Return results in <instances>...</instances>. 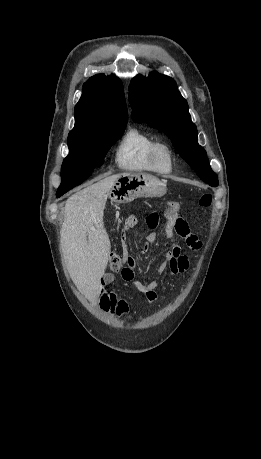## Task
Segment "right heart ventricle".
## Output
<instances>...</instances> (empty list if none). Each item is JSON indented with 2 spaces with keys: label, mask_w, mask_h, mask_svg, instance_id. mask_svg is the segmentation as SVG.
Returning <instances> with one entry per match:
<instances>
[{
  "label": "right heart ventricle",
  "mask_w": 261,
  "mask_h": 459,
  "mask_svg": "<svg viewBox=\"0 0 261 459\" xmlns=\"http://www.w3.org/2000/svg\"><path fill=\"white\" fill-rule=\"evenodd\" d=\"M157 139L149 132L132 128L117 145L115 162L122 170L155 172L151 150Z\"/></svg>",
  "instance_id": "1"
}]
</instances>
